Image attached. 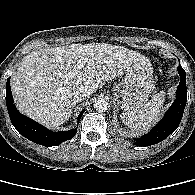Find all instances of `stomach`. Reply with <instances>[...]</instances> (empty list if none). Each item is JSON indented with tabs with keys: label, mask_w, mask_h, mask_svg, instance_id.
I'll list each match as a JSON object with an SVG mask.
<instances>
[{
	"label": "stomach",
	"mask_w": 195,
	"mask_h": 195,
	"mask_svg": "<svg viewBox=\"0 0 195 195\" xmlns=\"http://www.w3.org/2000/svg\"><path fill=\"white\" fill-rule=\"evenodd\" d=\"M155 89L153 68L146 58L134 63L124 78L115 85L114 92L124 111L141 108Z\"/></svg>",
	"instance_id": "stomach-1"
}]
</instances>
